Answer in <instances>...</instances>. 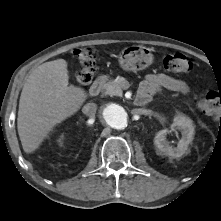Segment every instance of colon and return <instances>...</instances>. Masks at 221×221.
Listing matches in <instances>:
<instances>
[{"label":"colon","mask_w":221,"mask_h":221,"mask_svg":"<svg viewBox=\"0 0 221 221\" xmlns=\"http://www.w3.org/2000/svg\"><path fill=\"white\" fill-rule=\"evenodd\" d=\"M74 57L80 64V70L76 74V81L80 85L89 84L95 76V67L98 52L94 48H81L74 51ZM192 64L186 55L173 53L163 59V68L175 73H187ZM200 108L207 114L218 115L221 119V93L207 92L200 100Z\"/></svg>","instance_id":"obj_1"}]
</instances>
